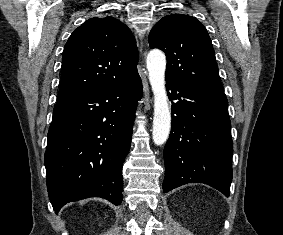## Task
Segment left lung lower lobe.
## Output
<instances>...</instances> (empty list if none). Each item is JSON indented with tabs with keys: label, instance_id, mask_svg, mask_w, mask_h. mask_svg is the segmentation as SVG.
I'll use <instances>...</instances> for the list:
<instances>
[{
	"label": "left lung lower lobe",
	"instance_id": "obj_1",
	"mask_svg": "<svg viewBox=\"0 0 283 235\" xmlns=\"http://www.w3.org/2000/svg\"><path fill=\"white\" fill-rule=\"evenodd\" d=\"M172 127L164 148V192L187 183H204L230 194L231 122L224 93L181 79L166 78Z\"/></svg>",
	"mask_w": 283,
	"mask_h": 235
}]
</instances>
